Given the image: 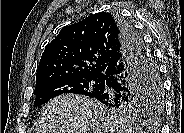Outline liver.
<instances>
[{
	"instance_id": "6515ba94",
	"label": "liver",
	"mask_w": 184,
	"mask_h": 133,
	"mask_svg": "<svg viewBox=\"0 0 184 133\" xmlns=\"http://www.w3.org/2000/svg\"><path fill=\"white\" fill-rule=\"evenodd\" d=\"M36 133H143L142 127L118 117L96 99L66 94L42 109Z\"/></svg>"
}]
</instances>
